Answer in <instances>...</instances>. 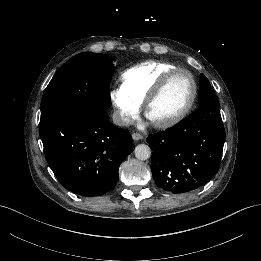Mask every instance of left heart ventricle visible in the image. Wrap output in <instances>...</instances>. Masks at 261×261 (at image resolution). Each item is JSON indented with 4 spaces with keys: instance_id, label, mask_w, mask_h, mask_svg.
Instances as JSON below:
<instances>
[{
    "instance_id": "1",
    "label": "left heart ventricle",
    "mask_w": 261,
    "mask_h": 261,
    "mask_svg": "<svg viewBox=\"0 0 261 261\" xmlns=\"http://www.w3.org/2000/svg\"><path fill=\"white\" fill-rule=\"evenodd\" d=\"M192 95V83L184 73L173 76L161 96L150 108L153 120H165L178 114L188 103Z\"/></svg>"
}]
</instances>
